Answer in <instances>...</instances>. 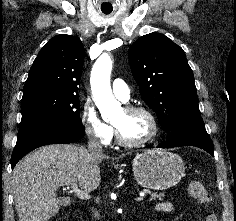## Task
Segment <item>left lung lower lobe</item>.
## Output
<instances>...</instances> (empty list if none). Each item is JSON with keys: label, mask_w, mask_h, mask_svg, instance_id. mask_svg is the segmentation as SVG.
<instances>
[{"label": "left lung lower lobe", "mask_w": 236, "mask_h": 221, "mask_svg": "<svg viewBox=\"0 0 236 221\" xmlns=\"http://www.w3.org/2000/svg\"><path fill=\"white\" fill-rule=\"evenodd\" d=\"M188 145L202 148L214 156V147L206 132L204 123H189L176 127L169 132V138L160 148Z\"/></svg>", "instance_id": "0a47b994"}]
</instances>
